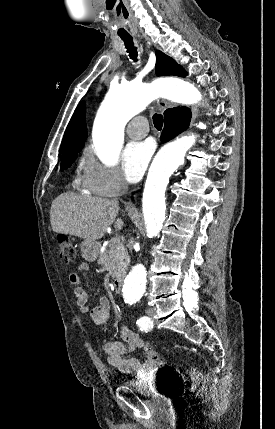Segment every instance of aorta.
<instances>
[{
    "label": "aorta",
    "instance_id": "aorta-1",
    "mask_svg": "<svg viewBox=\"0 0 275 429\" xmlns=\"http://www.w3.org/2000/svg\"><path fill=\"white\" fill-rule=\"evenodd\" d=\"M164 96L183 104L201 101L194 85L182 80H163L159 83H128L112 86L101 104L93 127V142L98 157L108 165L117 161L124 140V127L155 98ZM195 135H185L166 144L151 166L143 192L142 209L148 237L157 236L165 221V191L170 176L184 163L187 150L194 144ZM147 271L136 265L125 278L122 295L125 301H135L145 292Z\"/></svg>",
    "mask_w": 275,
    "mask_h": 429
}]
</instances>
